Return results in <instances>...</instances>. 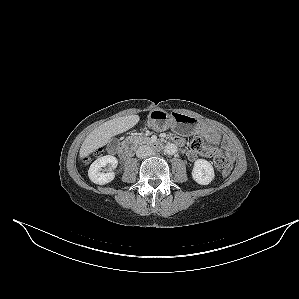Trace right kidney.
Returning <instances> with one entry per match:
<instances>
[{"label":"right kidney","instance_id":"ca27d5eb","mask_svg":"<svg viewBox=\"0 0 299 299\" xmlns=\"http://www.w3.org/2000/svg\"><path fill=\"white\" fill-rule=\"evenodd\" d=\"M118 164L116 157L111 155H106L95 160L88 171L89 179L99 185H104L111 182L115 178V173L113 172ZM109 165L107 173L101 172L102 167Z\"/></svg>","mask_w":299,"mask_h":299}]
</instances>
